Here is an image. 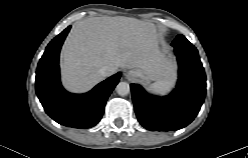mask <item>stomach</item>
<instances>
[{
	"mask_svg": "<svg viewBox=\"0 0 248 158\" xmlns=\"http://www.w3.org/2000/svg\"><path fill=\"white\" fill-rule=\"evenodd\" d=\"M170 63L172 65V68L174 69V64L172 63V61H170ZM134 72H135L136 77L140 78V80L143 83L148 84L151 81L150 76L145 71L137 69Z\"/></svg>",
	"mask_w": 248,
	"mask_h": 158,
	"instance_id": "0dacf381",
	"label": "stomach"
}]
</instances>
